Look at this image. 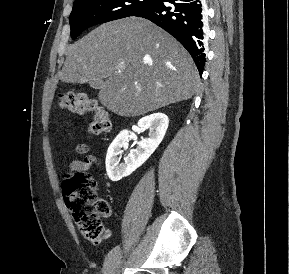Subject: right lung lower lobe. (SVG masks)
Wrapping results in <instances>:
<instances>
[{
	"instance_id": "98d812e1",
	"label": "right lung lower lobe",
	"mask_w": 289,
	"mask_h": 274,
	"mask_svg": "<svg viewBox=\"0 0 289 274\" xmlns=\"http://www.w3.org/2000/svg\"><path fill=\"white\" fill-rule=\"evenodd\" d=\"M203 0H155L138 17L146 18L174 36L192 56L200 75L205 65Z\"/></svg>"
}]
</instances>
